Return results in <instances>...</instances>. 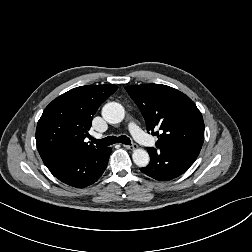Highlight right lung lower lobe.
I'll return each instance as SVG.
<instances>
[{"instance_id":"98d812e1","label":"right lung lower lobe","mask_w":252,"mask_h":252,"mask_svg":"<svg viewBox=\"0 0 252 252\" xmlns=\"http://www.w3.org/2000/svg\"><path fill=\"white\" fill-rule=\"evenodd\" d=\"M111 149L78 152L48 165L50 172L65 184L84 188L96 182L107 167Z\"/></svg>"}]
</instances>
